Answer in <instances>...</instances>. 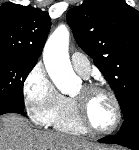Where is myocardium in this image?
<instances>
[{"label": "myocardium", "mask_w": 139, "mask_h": 150, "mask_svg": "<svg viewBox=\"0 0 139 150\" xmlns=\"http://www.w3.org/2000/svg\"><path fill=\"white\" fill-rule=\"evenodd\" d=\"M84 94L80 97H73L77 119L80 125L89 133L95 135H110L120 126L122 121V107L118 96L111 89L97 84H86L83 86ZM95 93H104L108 95L115 107V121L113 125L105 130L96 129L90 122L87 114V98Z\"/></svg>", "instance_id": "f54148a6"}]
</instances>
